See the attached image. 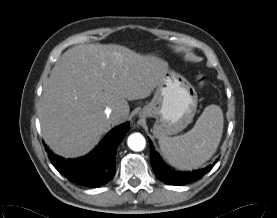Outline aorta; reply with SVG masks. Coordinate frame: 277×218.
<instances>
[{"label": "aorta", "instance_id": "obj_1", "mask_svg": "<svg viewBox=\"0 0 277 218\" xmlns=\"http://www.w3.org/2000/svg\"><path fill=\"white\" fill-rule=\"evenodd\" d=\"M128 146L133 151H142L146 146V140L140 133H133L128 137Z\"/></svg>", "mask_w": 277, "mask_h": 218}]
</instances>
